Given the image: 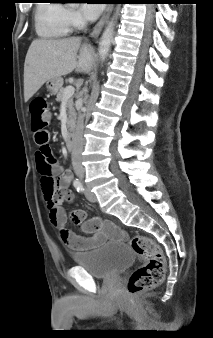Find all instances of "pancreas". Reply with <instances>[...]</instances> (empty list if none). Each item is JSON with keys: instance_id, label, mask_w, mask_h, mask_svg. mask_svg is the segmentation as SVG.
Returning <instances> with one entry per match:
<instances>
[{"instance_id": "1", "label": "pancreas", "mask_w": 213, "mask_h": 338, "mask_svg": "<svg viewBox=\"0 0 213 338\" xmlns=\"http://www.w3.org/2000/svg\"><path fill=\"white\" fill-rule=\"evenodd\" d=\"M65 88L61 87L59 91L57 92V101H62L63 100V94H64ZM67 109H68V120L67 124L68 126H72L75 123L76 120V111L74 108V103H73V97H70L67 99Z\"/></svg>"}]
</instances>
